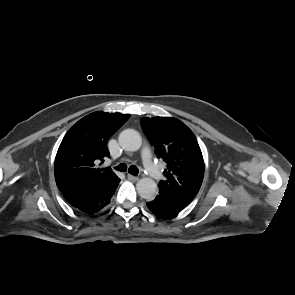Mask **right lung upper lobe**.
Here are the masks:
<instances>
[{
    "instance_id": "obj_1",
    "label": "right lung upper lobe",
    "mask_w": 295,
    "mask_h": 295,
    "mask_svg": "<svg viewBox=\"0 0 295 295\" xmlns=\"http://www.w3.org/2000/svg\"><path fill=\"white\" fill-rule=\"evenodd\" d=\"M129 114L93 112L64 136L55 158V180L64 196L85 193L115 177L110 167L97 168L109 157L108 139L128 120Z\"/></svg>"
}]
</instances>
